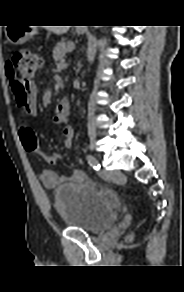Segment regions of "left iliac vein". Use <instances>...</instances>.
Returning a JSON list of instances; mask_svg holds the SVG:
<instances>
[{"label":"left iliac vein","instance_id":"left-iliac-vein-1","mask_svg":"<svg viewBox=\"0 0 184 292\" xmlns=\"http://www.w3.org/2000/svg\"><path fill=\"white\" fill-rule=\"evenodd\" d=\"M98 173L102 178L106 180H111L118 176V173L116 171H110L107 169H102Z\"/></svg>","mask_w":184,"mask_h":292}]
</instances>
